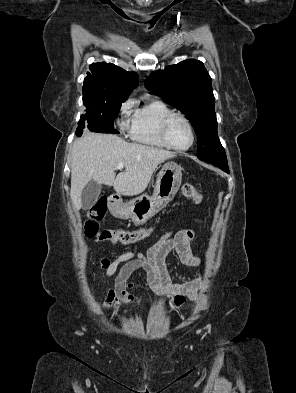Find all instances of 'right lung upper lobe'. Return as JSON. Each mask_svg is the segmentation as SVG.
Segmentation results:
<instances>
[{
	"label": "right lung upper lobe",
	"mask_w": 296,
	"mask_h": 393,
	"mask_svg": "<svg viewBox=\"0 0 296 393\" xmlns=\"http://www.w3.org/2000/svg\"><path fill=\"white\" fill-rule=\"evenodd\" d=\"M137 82L135 72H127L111 63H93L84 79L83 100L127 99Z\"/></svg>",
	"instance_id": "right-lung-upper-lobe-1"
}]
</instances>
